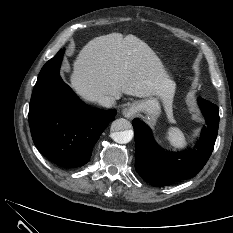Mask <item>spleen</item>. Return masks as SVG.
Returning a JSON list of instances; mask_svg holds the SVG:
<instances>
[{
    "instance_id": "1",
    "label": "spleen",
    "mask_w": 233,
    "mask_h": 233,
    "mask_svg": "<svg viewBox=\"0 0 233 233\" xmlns=\"http://www.w3.org/2000/svg\"><path fill=\"white\" fill-rule=\"evenodd\" d=\"M167 140L170 145L176 149H183L186 147V140L182 131L177 127H170L167 131Z\"/></svg>"
}]
</instances>
